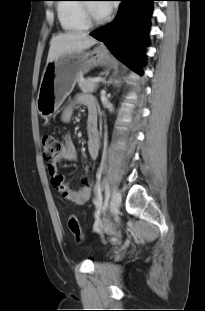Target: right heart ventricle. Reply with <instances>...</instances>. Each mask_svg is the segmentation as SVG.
Masks as SVG:
<instances>
[{
  "label": "right heart ventricle",
  "instance_id": "right-heart-ventricle-1",
  "mask_svg": "<svg viewBox=\"0 0 205 311\" xmlns=\"http://www.w3.org/2000/svg\"><path fill=\"white\" fill-rule=\"evenodd\" d=\"M63 2H75L80 0H62ZM82 4L60 3L57 5V15L61 27L67 32H80L87 29L82 13Z\"/></svg>",
  "mask_w": 205,
  "mask_h": 311
}]
</instances>
